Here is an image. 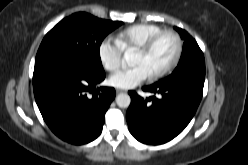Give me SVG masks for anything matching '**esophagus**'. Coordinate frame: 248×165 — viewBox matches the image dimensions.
Instances as JSON below:
<instances>
[{
	"label": "esophagus",
	"mask_w": 248,
	"mask_h": 165,
	"mask_svg": "<svg viewBox=\"0 0 248 165\" xmlns=\"http://www.w3.org/2000/svg\"><path fill=\"white\" fill-rule=\"evenodd\" d=\"M122 92H124V90L116 89V93H117V94L122 93Z\"/></svg>",
	"instance_id": "1"
}]
</instances>
